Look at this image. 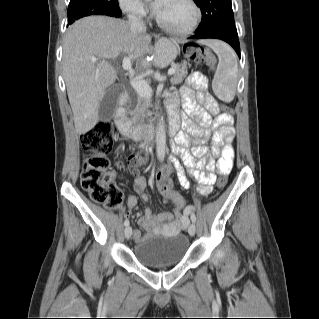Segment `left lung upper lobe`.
Wrapping results in <instances>:
<instances>
[{
  "label": "left lung upper lobe",
  "mask_w": 319,
  "mask_h": 319,
  "mask_svg": "<svg viewBox=\"0 0 319 319\" xmlns=\"http://www.w3.org/2000/svg\"><path fill=\"white\" fill-rule=\"evenodd\" d=\"M203 18L197 33L223 31L237 34L231 0H194Z\"/></svg>",
  "instance_id": "5c2ea615"
}]
</instances>
